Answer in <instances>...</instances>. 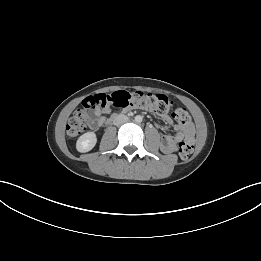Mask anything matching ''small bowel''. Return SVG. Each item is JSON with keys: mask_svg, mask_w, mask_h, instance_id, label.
<instances>
[{"mask_svg": "<svg viewBox=\"0 0 261 261\" xmlns=\"http://www.w3.org/2000/svg\"><path fill=\"white\" fill-rule=\"evenodd\" d=\"M109 111L110 109L108 108L104 111L95 112L89 120L90 128L97 130L104 123H106V117L103 115V113ZM160 116L165 123L170 124L172 122L169 115L162 114ZM183 140H194V128L191 124L177 126V133L175 135L162 134L160 136V149L166 154H171L176 151L177 145Z\"/></svg>", "mask_w": 261, "mask_h": 261, "instance_id": "c3829d8e", "label": "small bowel"}]
</instances>
